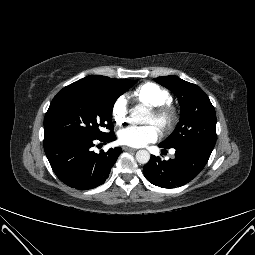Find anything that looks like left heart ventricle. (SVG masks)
<instances>
[{"mask_svg":"<svg viewBox=\"0 0 255 255\" xmlns=\"http://www.w3.org/2000/svg\"><path fill=\"white\" fill-rule=\"evenodd\" d=\"M146 123H149V124H156V119H155V116L154 114L152 113V111L149 113L147 119H146Z\"/></svg>","mask_w":255,"mask_h":255,"instance_id":"b2bd125f","label":"left heart ventricle"}]
</instances>
